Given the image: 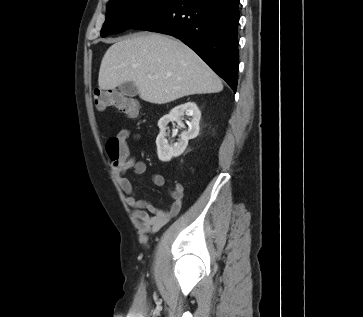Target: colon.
<instances>
[{"label": "colon", "mask_w": 363, "mask_h": 317, "mask_svg": "<svg viewBox=\"0 0 363 317\" xmlns=\"http://www.w3.org/2000/svg\"><path fill=\"white\" fill-rule=\"evenodd\" d=\"M93 103L99 110L114 107L131 118H136L139 114L136 101L115 90H94ZM106 151L115 164L120 163L125 153V146L121 138L119 136L109 138L106 142Z\"/></svg>", "instance_id": "1"}]
</instances>
